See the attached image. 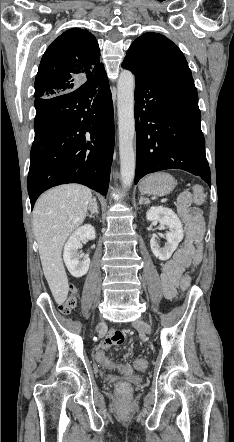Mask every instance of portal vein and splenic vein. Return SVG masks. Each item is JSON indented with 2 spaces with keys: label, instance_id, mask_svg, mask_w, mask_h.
<instances>
[{
  "label": "portal vein and splenic vein",
  "instance_id": "portal-vein-and-splenic-vein-1",
  "mask_svg": "<svg viewBox=\"0 0 234 442\" xmlns=\"http://www.w3.org/2000/svg\"><path fill=\"white\" fill-rule=\"evenodd\" d=\"M167 201V199L165 198V199H162V202H166Z\"/></svg>",
  "mask_w": 234,
  "mask_h": 442
}]
</instances>
